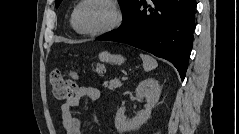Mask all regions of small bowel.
Segmentation results:
<instances>
[{
    "mask_svg": "<svg viewBox=\"0 0 239 134\" xmlns=\"http://www.w3.org/2000/svg\"><path fill=\"white\" fill-rule=\"evenodd\" d=\"M100 91L92 86H80L74 94L61 105L62 125L66 134H82L80 120L73 114L82 99L95 101L99 99Z\"/></svg>",
    "mask_w": 239,
    "mask_h": 134,
    "instance_id": "obj_1",
    "label": "small bowel"
}]
</instances>
